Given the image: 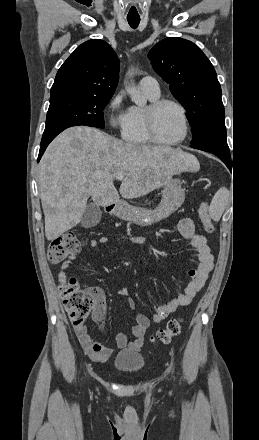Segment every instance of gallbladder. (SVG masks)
<instances>
[{
  "label": "gallbladder",
  "mask_w": 259,
  "mask_h": 440,
  "mask_svg": "<svg viewBox=\"0 0 259 440\" xmlns=\"http://www.w3.org/2000/svg\"><path fill=\"white\" fill-rule=\"evenodd\" d=\"M102 211L94 203L87 204L83 215L81 217L80 224L84 228L95 227L101 220Z\"/></svg>",
  "instance_id": "gallbladder-1"
}]
</instances>
